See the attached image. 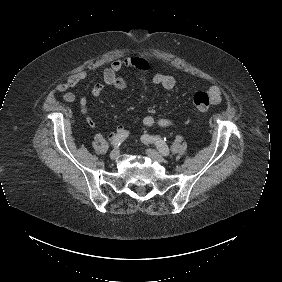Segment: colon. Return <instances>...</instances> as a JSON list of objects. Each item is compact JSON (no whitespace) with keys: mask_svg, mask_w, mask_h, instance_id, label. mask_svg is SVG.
Here are the masks:
<instances>
[{"mask_svg":"<svg viewBox=\"0 0 282 282\" xmlns=\"http://www.w3.org/2000/svg\"><path fill=\"white\" fill-rule=\"evenodd\" d=\"M193 103L199 112H204L207 111L213 103H215V100L210 97L209 93L197 92L193 96Z\"/></svg>","mask_w":282,"mask_h":282,"instance_id":"obj_1","label":"colon"}]
</instances>
